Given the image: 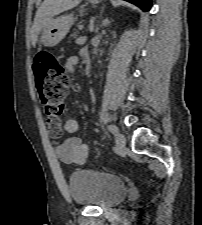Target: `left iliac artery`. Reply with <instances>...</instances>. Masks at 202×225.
Instances as JSON below:
<instances>
[{
    "instance_id": "1",
    "label": "left iliac artery",
    "mask_w": 202,
    "mask_h": 225,
    "mask_svg": "<svg viewBox=\"0 0 202 225\" xmlns=\"http://www.w3.org/2000/svg\"><path fill=\"white\" fill-rule=\"evenodd\" d=\"M108 130H109L110 132H112L113 134H115V133L118 132V128H117L116 126H114V125H109V126H108Z\"/></svg>"
}]
</instances>
